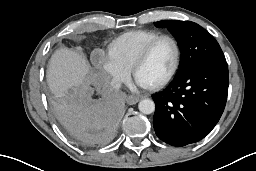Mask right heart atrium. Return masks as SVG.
<instances>
[{
    "label": "right heart atrium",
    "instance_id": "d8ad5b80",
    "mask_svg": "<svg viewBox=\"0 0 256 171\" xmlns=\"http://www.w3.org/2000/svg\"><path fill=\"white\" fill-rule=\"evenodd\" d=\"M94 61L105 72L115 85L125 82L129 75V70L120 65L112 57L104 52H95Z\"/></svg>",
    "mask_w": 256,
    "mask_h": 171
}]
</instances>
